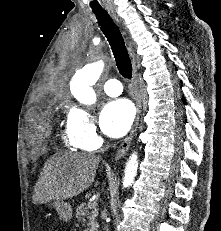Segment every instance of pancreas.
<instances>
[{"label":"pancreas","instance_id":"cf45deb5","mask_svg":"<svg viewBox=\"0 0 221 231\" xmlns=\"http://www.w3.org/2000/svg\"><path fill=\"white\" fill-rule=\"evenodd\" d=\"M76 218L78 221L83 222V226H87L85 231H98V223L96 221V216L98 211L96 207L90 208L89 204L81 203L76 209ZM86 219L88 222H86Z\"/></svg>","mask_w":221,"mask_h":231}]
</instances>
